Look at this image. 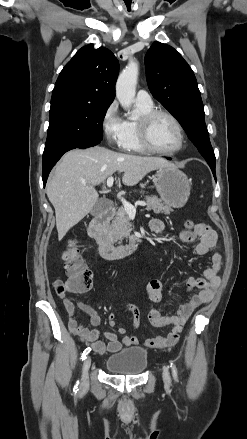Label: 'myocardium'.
<instances>
[{
    "label": "myocardium",
    "mask_w": 247,
    "mask_h": 439,
    "mask_svg": "<svg viewBox=\"0 0 247 439\" xmlns=\"http://www.w3.org/2000/svg\"><path fill=\"white\" fill-rule=\"evenodd\" d=\"M160 115L168 117L176 126L179 135V142L174 149L159 150L153 147V145L150 142L149 131H150L151 123L157 116ZM138 137H139V142L145 151L163 156H172L177 154L183 149L185 144V131L183 129L181 122L174 114L164 109H153L140 116L138 120Z\"/></svg>",
    "instance_id": "obj_1"
}]
</instances>
